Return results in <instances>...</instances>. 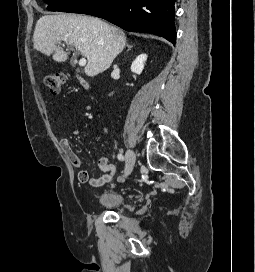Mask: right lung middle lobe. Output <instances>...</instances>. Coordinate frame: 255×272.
Listing matches in <instances>:
<instances>
[{
  "mask_svg": "<svg viewBox=\"0 0 255 272\" xmlns=\"http://www.w3.org/2000/svg\"><path fill=\"white\" fill-rule=\"evenodd\" d=\"M48 10L71 13H85L98 0H43Z\"/></svg>",
  "mask_w": 255,
  "mask_h": 272,
  "instance_id": "dd1d6c3e",
  "label": "right lung middle lobe"
}]
</instances>
